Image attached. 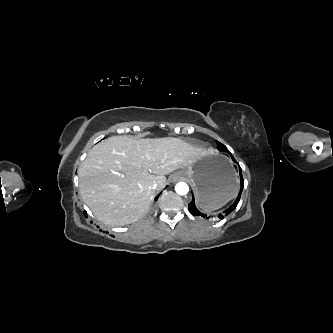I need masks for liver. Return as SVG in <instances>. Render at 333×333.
<instances>
[{"label":"liver","mask_w":333,"mask_h":333,"mask_svg":"<svg viewBox=\"0 0 333 333\" xmlns=\"http://www.w3.org/2000/svg\"><path fill=\"white\" fill-rule=\"evenodd\" d=\"M206 150L179 138L112 136L96 144L78 168L80 194L94 216L106 225L141 219L169 173L186 168ZM158 184L156 190L150 188Z\"/></svg>","instance_id":"obj_1"}]
</instances>
